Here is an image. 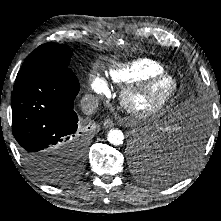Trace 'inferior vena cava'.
I'll return each mask as SVG.
<instances>
[{
	"mask_svg": "<svg viewBox=\"0 0 221 221\" xmlns=\"http://www.w3.org/2000/svg\"><path fill=\"white\" fill-rule=\"evenodd\" d=\"M98 104V99L91 94L85 95L81 99V109L86 115H91L95 113L98 108Z\"/></svg>",
	"mask_w": 221,
	"mask_h": 221,
	"instance_id": "obj_1",
	"label": "inferior vena cava"
}]
</instances>
